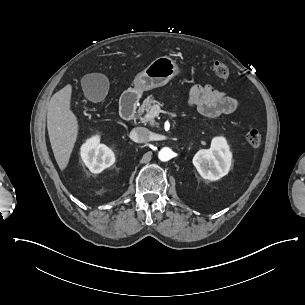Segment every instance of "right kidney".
<instances>
[{"instance_id": "1", "label": "right kidney", "mask_w": 305, "mask_h": 305, "mask_svg": "<svg viewBox=\"0 0 305 305\" xmlns=\"http://www.w3.org/2000/svg\"><path fill=\"white\" fill-rule=\"evenodd\" d=\"M82 158L93 173H100L115 161L113 153L106 146L99 145L96 138L88 140L82 146Z\"/></svg>"}]
</instances>
